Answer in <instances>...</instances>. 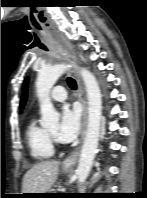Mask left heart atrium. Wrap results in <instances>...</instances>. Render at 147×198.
Masks as SVG:
<instances>
[{
  "instance_id": "obj_1",
  "label": "left heart atrium",
  "mask_w": 147,
  "mask_h": 198,
  "mask_svg": "<svg viewBox=\"0 0 147 198\" xmlns=\"http://www.w3.org/2000/svg\"><path fill=\"white\" fill-rule=\"evenodd\" d=\"M80 128V114L77 109L65 106L61 112V119L56 130L58 141L67 143L72 141Z\"/></svg>"
}]
</instances>
